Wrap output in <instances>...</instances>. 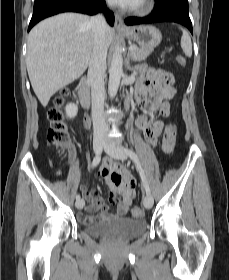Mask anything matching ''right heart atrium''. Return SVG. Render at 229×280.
Here are the masks:
<instances>
[{"label": "right heart atrium", "instance_id": "right-heart-atrium-1", "mask_svg": "<svg viewBox=\"0 0 229 280\" xmlns=\"http://www.w3.org/2000/svg\"><path fill=\"white\" fill-rule=\"evenodd\" d=\"M108 1V3H110L112 0H107Z\"/></svg>", "mask_w": 229, "mask_h": 280}]
</instances>
